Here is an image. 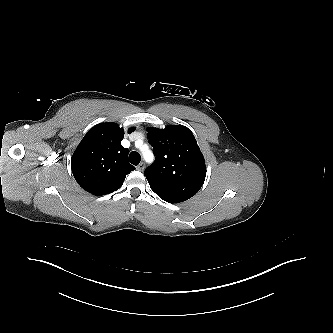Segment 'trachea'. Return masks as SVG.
Listing matches in <instances>:
<instances>
[{"instance_id": "3493384b", "label": "trachea", "mask_w": 333, "mask_h": 333, "mask_svg": "<svg viewBox=\"0 0 333 333\" xmlns=\"http://www.w3.org/2000/svg\"><path fill=\"white\" fill-rule=\"evenodd\" d=\"M141 157L140 154L136 151H132L129 155V161L133 165H138L140 163Z\"/></svg>"}]
</instances>
